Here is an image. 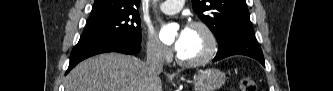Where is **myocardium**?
<instances>
[{
	"label": "myocardium",
	"mask_w": 333,
	"mask_h": 91,
	"mask_svg": "<svg viewBox=\"0 0 333 91\" xmlns=\"http://www.w3.org/2000/svg\"><path fill=\"white\" fill-rule=\"evenodd\" d=\"M189 28H198L200 29L206 36L208 41V47L206 52L199 58L188 60L182 58L179 53L176 55L177 62L186 67H195L203 65L214 58L218 51V41L217 37L212 30V28L202 21H192L188 25Z\"/></svg>",
	"instance_id": "f54148a6"
}]
</instances>
